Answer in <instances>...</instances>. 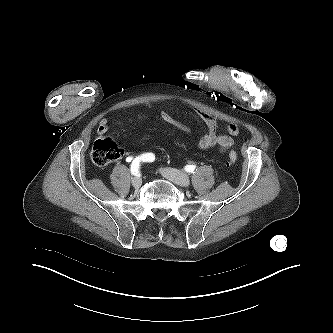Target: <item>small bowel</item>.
<instances>
[{"mask_svg":"<svg viewBox=\"0 0 333 333\" xmlns=\"http://www.w3.org/2000/svg\"><path fill=\"white\" fill-rule=\"evenodd\" d=\"M148 106L153 107L152 104H148ZM158 112L162 120L186 135L191 134V129L176 120L164 107H159ZM197 114L207 127V132L199 140V148L208 150L218 145L222 153L230 150L234 145V138L241 134V128L237 124L231 123L225 128L226 134H219L218 123L214 116L201 110H197ZM108 129L109 120L107 118L101 119L97 128V134L104 136Z\"/></svg>","mask_w":333,"mask_h":333,"instance_id":"c3829d8e","label":"small bowel"}]
</instances>
